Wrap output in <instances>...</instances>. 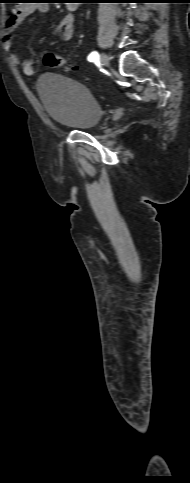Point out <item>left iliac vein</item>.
I'll use <instances>...</instances> for the list:
<instances>
[{
	"label": "left iliac vein",
	"mask_w": 190,
	"mask_h": 483,
	"mask_svg": "<svg viewBox=\"0 0 190 483\" xmlns=\"http://www.w3.org/2000/svg\"><path fill=\"white\" fill-rule=\"evenodd\" d=\"M100 61L103 66L108 67L109 66V57L106 53H103L100 57Z\"/></svg>",
	"instance_id": "obj_1"
}]
</instances>
